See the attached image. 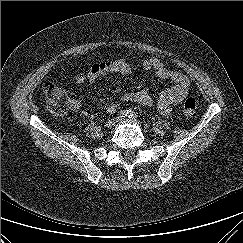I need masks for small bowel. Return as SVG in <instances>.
<instances>
[{
  "mask_svg": "<svg viewBox=\"0 0 243 243\" xmlns=\"http://www.w3.org/2000/svg\"><path fill=\"white\" fill-rule=\"evenodd\" d=\"M141 66L146 71H152L156 77L169 82V87L160 93L157 100L159 112L169 117L172 106L179 104L189 93L190 82L188 78L178 71L166 68L156 57L144 59ZM131 71V65L125 59L99 62L94 64L87 73L78 74L75 77V83L78 85L94 83L100 77L110 74L128 75ZM123 102H135L144 107L153 105L151 96L145 90H139L121 96L118 101L108 106L107 112L113 113Z\"/></svg>",
  "mask_w": 243,
  "mask_h": 243,
  "instance_id": "small-bowel-1",
  "label": "small bowel"
}]
</instances>
